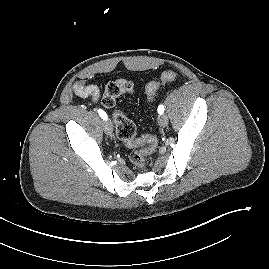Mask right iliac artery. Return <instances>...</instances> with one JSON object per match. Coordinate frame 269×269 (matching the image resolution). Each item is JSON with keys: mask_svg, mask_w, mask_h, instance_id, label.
<instances>
[{"mask_svg": "<svg viewBox=\"0 0 269 269\" xmlns=\"http://www.w3.org/2000/svg\"><path fill=\"white\" fill-rule=\"evenodd\" d=\"M98 114L100 115V117L103 119V120H107V114L102 110V109H99L98 110Z\"/></svg>", "mask_w": 269, "mask_h": 269, "instance_id": "1", "label": "right iliac artery"}]
</instances>
